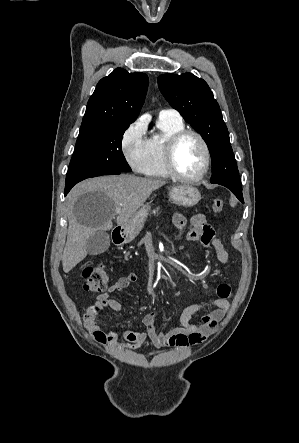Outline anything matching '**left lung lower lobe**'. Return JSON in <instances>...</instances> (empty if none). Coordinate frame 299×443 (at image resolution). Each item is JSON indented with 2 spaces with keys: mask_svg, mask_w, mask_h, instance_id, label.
<instances>
[{
  "mask_svg": "<svg viewBox=\"0 0 299 443\" xmlns=\"http://www.w3.org/2000/svg\"><path fill=\"white\" fill-rule=\"evenodd\" d=\"M215 184H219V185H223V186L227 187L228 189H230L235 194V196L242 203H244L243 195H242V187L241 186H235V185H232V184H229V183H223V182H218V183H215Z\"/></svg>",
  "mask_w": 299,
  "mask_h": 443,
  "instance_id": "obj_1",
  "label": "left lung lower lobe"
}]
</instances>
